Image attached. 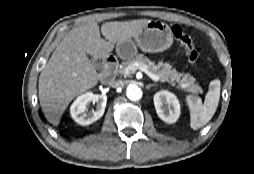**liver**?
Instances as JSON below:
<instances>
[{
  "instance_id": "obj_1",
  "label": "liver",
  "mask_w": 254,
  "mask_h": 174,
  "mask_svg": "<svg viewBox=\"0 0 254 174\" xmlns=\"http://www.w3.org/2000/svg\"><path fill=\"white\" fill-rule=\"evenodd\" d=\"M151 20L106 22L100 29L91 21L72 29L57 45L39 76V101L46 119L57 126L69 103L99 80L95 59L108 56L115 43L135 37Z\"/></svg>"
}]
</instances>
